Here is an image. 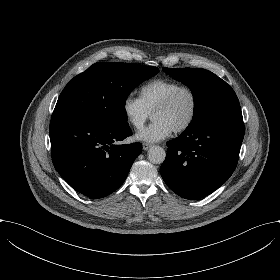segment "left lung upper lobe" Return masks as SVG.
<instances>
[{"label":"left lung upper lobe","instance_id":"obj_1","mask_svg":"<svg viewBox=\"0 0 280 280\" xmlns=\"http://www.w3.org/2000/svg\"><path fill=\"white\" fill-rule=\"evenodd\" d=\"M172 78L184 83L194 97V115L189 127L206 119L241 110L233 89L214 73L199 68H163Z\"/></svg>","mask_w":280,"mask_h":280}]
</instances>
